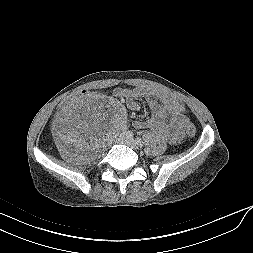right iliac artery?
<instances>
[{
  "instance_id": "right-iliac-artery-1",
  "label": "right iliac artery",
  "mask_w": 253,
  "mask_h": 253,
  "mask_svg": "<svg viewBox=\"0 0 253 253\" xmlns=\"http://www.w3.org/2000/svg\"><path fill=\"white\" fill-rule=\"evenodd\" d=\"M126 136H127V137H132V136H133V133H132L131 131H127V132H126Z\"/></svg>"
}]
</instances>
